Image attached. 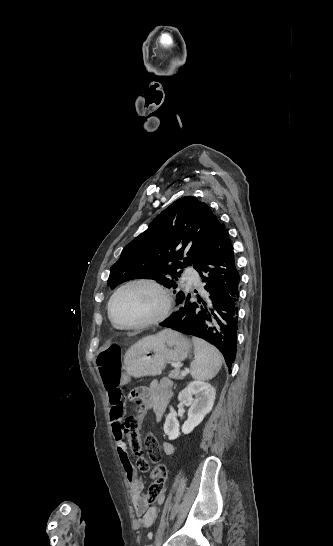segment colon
<instances>
[{
	"label": "colon",
	"instance_id": "colon-1",
	"mask_svg": "<svg viewBox=\"0 0 333 546\" xmlns=\"http://www.w3.org/2000/svg\"><path fill=\"white\" fill-rule=\"evenodd\" d=\"M96 365L103 384L111 395V401L114 403L120 402L121 392L118 386L121 380V349L119 345L112 343L101 349L96 357ZM145 405L146 403L142 399H136L133 413L123 422L130 450L137 458V468L143 473L150 471V462L157 463L161 457L156 438L151 434L142 438L140 433ZM151 472H154L155 478L148 489L146 502H161L165 492L167 468L162 464H158Z\"/></svg>",
	"mask_w": 333,
	"mask_h": 546
}]
</instances>
